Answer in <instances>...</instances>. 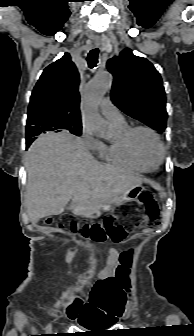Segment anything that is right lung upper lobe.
Listing matches in <instances>:
<instances>
[{"instance_id": "1", "label": "right lung upper lobe", "mask_w": 194, "mask_h": 336, "mask_svg": "<svg viewBox=\"0 0 194 336\" xmlns=\"http://www.w3.org/2000/svg\"><path fill=\"white\" fill-rule=\"evenodd\" d=\"M78 86L79 74L68 53L45 68L31 95L26 126L41 129L29 133L27 143L43 133L82 128Z\"/></svg>"}]
</instances>
